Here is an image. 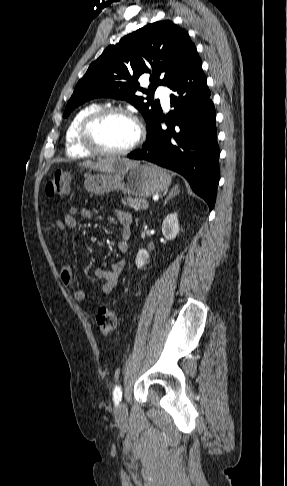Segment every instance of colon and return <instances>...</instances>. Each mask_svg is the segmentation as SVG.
<instances>
[{"instance_id":"colon-1","label":"colon","mask_w":287,"mask_h":486,"mask_svg":"<svg viewBox=\"0 0 287 486\" xmlns=\"http://www.w3.org/2000/svg\"><path fill=\"white\" fill-rule=\"evenodd\" d=\"M69 190L68 173L57 170L52 173L46 184V194L48 196H61L67 194ZM96 323L102 336H109L116 328L117 317L115 311L106 306L100 305L96 311Z\"/></svg>"}]
</instances>
